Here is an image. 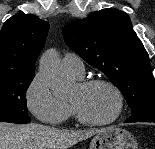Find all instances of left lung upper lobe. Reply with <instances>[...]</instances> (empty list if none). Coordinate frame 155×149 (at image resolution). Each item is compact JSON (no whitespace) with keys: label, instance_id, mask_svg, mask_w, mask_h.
<instances>
[{"label":"left lung upper lobe","instance_id":"5c2ea615","mask_svg":"<svg viewBox=\"0 0 155 149\" xmlns=\"http://www.w3.org/2000/svg\"><path fill=\"white\" fill-rule=\"evenodd\" d=\"M66 44L101 70L124 94L132 116L155 107V81L149 55L129 16L106 8L63 27Z\"/></svg>","mask_w":155,"mask_h":149}]
</instances>
